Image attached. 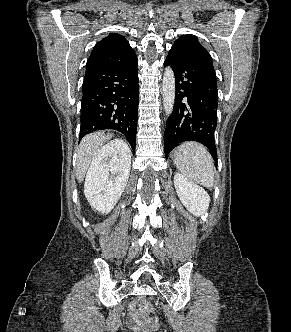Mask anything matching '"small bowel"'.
Segmentation results:
<instances>
[{
    "label": "small bowel",
    "mask_w": 291,
    "mask_h": 332,
    "mask_svg": "<svg viewBox=\"0 0 291 332\" xmlns=\"http://www.w3.org/2000/svg\"><path fill=\"white\" fill-rule=\"evenodd\" d=\"M134 319L136 321H139V320H141V316L139 314H137V313H134Z\"/></svg>",
    "instance_id": "1"
}]
</instances>
